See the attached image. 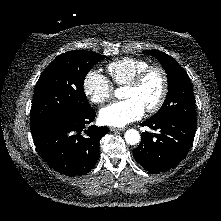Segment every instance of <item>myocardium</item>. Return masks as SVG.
<instances>
[{
    "label": "myocardium",
    "instance_id": "myocardium-1",
    "mask_svg": "<svg viewBox=\"0 0 221 221\" xmlns=\"http://www.w3.org/2000/svg\"><path fill=\"white\" fill-rule=\"evenodd\" d=\"M153 72H157L160 74L162 79V89L158 100L152 106H149L145 109L148 113L157 112L162 107L167 98L169 92V78L166 70L159 65H149L148 67L137 73L126 84V87L137 88L144 82L147 76Z\"/></svg>",
    "mask_w": 221,
    "mask_h": 221
}]
</instances>
